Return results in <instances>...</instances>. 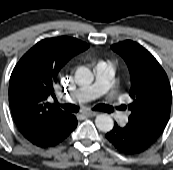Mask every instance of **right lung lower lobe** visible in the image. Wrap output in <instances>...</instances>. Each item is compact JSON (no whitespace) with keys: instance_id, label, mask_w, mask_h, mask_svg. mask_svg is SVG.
<instances>
[{"instance_id":"right-lung-lower-lobe-1","label":"right lung lower lobe","mask_w":173,"mask_h":170,"mask_svg":"<svg viewBox=\"0 0 173 170\" xmlns=\"http://www.w3.org/2000/svg\"><path fill=\"white\" fill-rule=\"evenodd\" d=\"M76 126V117L73 114H68L63 120L53 122L24 137L38 147H53L66 139Z\"/></svg>"}]
</instances>
